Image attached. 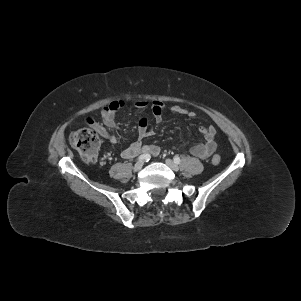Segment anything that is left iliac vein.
Wrapping results in <instances>:
<instances>
[{
  "label": "left iliac vein",
  "instance_id": "left-iliac-vein-1",
  "mask_svg": "<svg viewBox=\"0 0 301 301\" xmlns=\"http://www.w3.org/2000/svg\"><path fill=\"white\" fill-rule=\"evenodd\" d=\"M166 165L174 171H178V165L172 159L165 160Z\"/></svg>",
  "mask_w": 301,
  "mask_h": 301
}]
</instances>
